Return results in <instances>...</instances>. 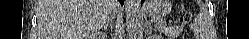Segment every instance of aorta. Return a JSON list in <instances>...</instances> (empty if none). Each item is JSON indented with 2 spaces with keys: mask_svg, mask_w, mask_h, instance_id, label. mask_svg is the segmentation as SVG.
Returning a JSON list of instances; mask_svg holds the SVG:
<instances>
[{
  "mask_svg": "<svg viewBox=\"0 0 249 39\" xmlns=\"http://www.w3.org/2000/svg\"><path fill=\"white\" fill-rule=\"evenodd\" d=\"M140 0H125L126 23L130 32H134L139 24Z\"/></svg>",
  "mask_w": 249,
  "mask_h": 39,
  "instance_id": "aorta-1",
  "label": "aorta"
}]
</instances>
